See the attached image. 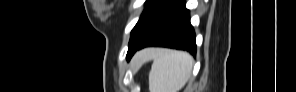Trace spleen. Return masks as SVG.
<instances>
[{"label":"spleen","mask_w":296,"mask_h":92,"mask_svg":"<svg viewBox=\"0 0 296 92\" xmlns=\"http://www.w3.org/2000/svg\"><path fill=\"white\" fill-rule=\"evenodd\" d=\"M142 57L153 59L149 73L150 92H179L191 75L193 58L188 53L156 49Z\"/></svg>","instance_id":"1"}]
</instances>
